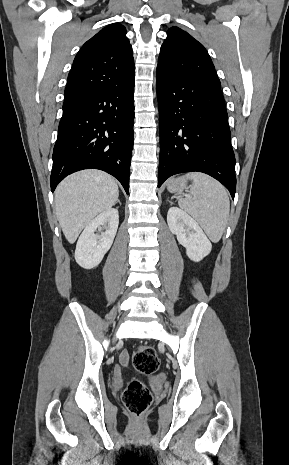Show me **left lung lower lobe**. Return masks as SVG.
I'll list each match as a JSON object with an SVG mask.
<instances>
[{
    "instance_id": "obj_1",
    "label": "left lung lower lobe",
    "mask_w": 289,
    "mask_h": 465,
    "mask_svg": "<svg viewBox=\"0 0 289 465\" xmlns=\"http://www.w3.org/2000/svg\"><path fill=\"white\" fill-rule=\"evenodd\" d=\"M157 95L158 187L174 174L199 171L220 181L234 199L235 156L221 88L157 73Z\"/></svg>"
}]
</instances>
